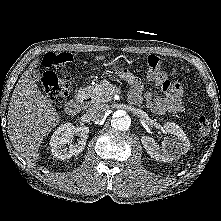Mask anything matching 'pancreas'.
I'll return each instance as SVG.
<instances>
[{
  "label": "pancreas",
  "mask_w": 221,
  "mask_h": 221,
  "mask_svg": "<svg viewBox=\"0 0 221 221\" xmlns=\"http://www.w3.org/2000/svg\"><path fill=\"white\" fill-rule=\"evenodd\" d=\"M114 92V86L107 80H103L86 89V95H88L95 103H105L110 101V96Z\"/></svg>",
  "instance_id": "obj_1"
}]
</instances>
